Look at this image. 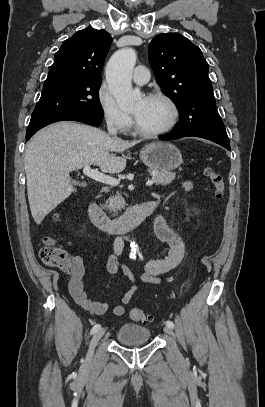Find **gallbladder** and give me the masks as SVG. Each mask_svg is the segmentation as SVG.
<instances>
[{"mask_svg":"<svg viewBox=\"0 0 265 407\" xmlns=\"http://www.w3.org/2000/svg\"><path fill=\"white\" fill-rule=\"evenodd\" d=\"M73 183H74V184H77L78 182H76V181H73Z\"/></svg>","mask_w":265,"mask_h":407,"instance_id":"bac80fb5","label":"gallbladder"}]
</instances>
